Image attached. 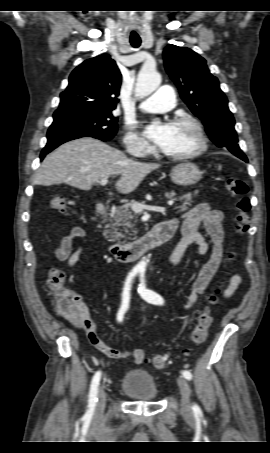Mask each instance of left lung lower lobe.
<instances>
[{
  "label": "left lung lower lobe",
  "instance_id": "1",
  "mask_svg": "<svg viewBox=\"0 0 270 453\" xmlns=\"http://www.w3.org/2000/svg\"><path fill=\"white\" fill-rule=\"evenodd\" d=\"M236 156H237L238 158L244 160L245 162H248V160H247L246 156L244 155V153H243V154H237Z\"/></svg>",
  "mask_w": 270,
  "mask_h": 453
}]
</instances>
